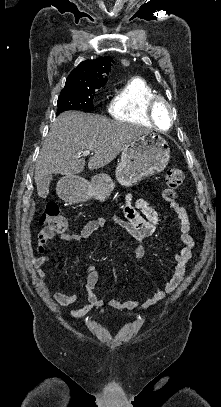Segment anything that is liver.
<instances>
[{"mask_svg":"<svg viewBox=\"0 0 221 407\" xmlns=\"http://www.w3.org/2000/svg\"><path fill=\"white\" fill-rule=\"evenodd\" d=\"M148 132L140 126L80 111L60 114L51 124L35 165V182L44 176H72L83 172L84 150H91L88 169L102 168L134 139Z\"/></svg>","mask_w":221,"mask_h":407,"instance_id":"obj_1","label":"liver"}]
</instances>
